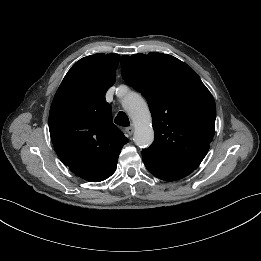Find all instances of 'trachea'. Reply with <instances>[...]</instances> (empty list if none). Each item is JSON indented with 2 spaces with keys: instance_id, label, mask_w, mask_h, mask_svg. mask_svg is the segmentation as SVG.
Wrapping results in <instances>:
<instances>
[{
  "instance_id": "1",
  "label": "trachea",
  "mask_w": 261,
  "mask_h": 261,
  "mask_svg": "<svg viewBox=\"0 0 261 261\" xmlns=\"http://www.w3.org/2000/svg\"><path fill=\"white\" fill-rule=\"evenodd\" d=\"M115 123L117 125H120V126H123V127H126V126L130 125L129 119H128L127 115L123 111H120L117 114V116L115 117Z\"/></svg>"
}]
</instances>
